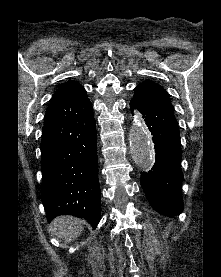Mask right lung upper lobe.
<instances>
[{
	"mask_svg": "<svg viewBox=\"0 0 221 277\" xmlns=\"http://www.w3.org/2000/svg\"><path fill=\"white\" fill-rule=\"evenodd\" d=\"M84 88L76 81H68L61 85L58 90L54 93L51 100L59 99L61 97L68 96L83 90Z\"/></svg>",
	"mask_w": 221,
	"mask_h": 277,
	"instance_id": "1",
	"label": "right lung upper lobe"
}]
</instances>
